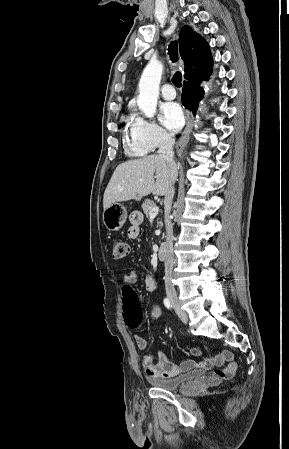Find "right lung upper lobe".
Masks as SVG:
<instances>
[{
    "label": "right lung upper lobe",
    "instance_id": "cb5924a9",
    "mask_svg": "<svg viewBox=\"0 0 289 449\" xmlns=\"http://www.w3.org/2000/svg\"><path fill=\"white\" fill-rule=\"evenodd\" d=\"M180 54L184 60L186 80L200 78L213 65L210 47L205 39L188 26L182 27L179 37Z\"/></svg>",
    "mask_w": 289,
    "mask_h": 449
}]
</instances>
